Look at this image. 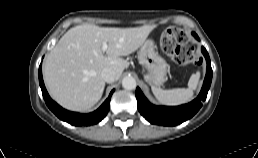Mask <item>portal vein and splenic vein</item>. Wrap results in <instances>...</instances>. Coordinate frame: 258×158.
Instances as JSON below:
<instances>
[{"instance_id":"1","label":"portal vein and splenic vein","mask_w":258,"mask_h":158,"mask_svg":"<svg viewBox=\"0 0 258 158\" xmlns=\"http://www.w3.org/2000/svg\"><path fill=\"white\" fill-rule=\"evenodd\" d=\"M107 47H108V46H107V44H106V43H104V44H103V46H102V50H103V52H105V51L107 50Z\"/></svg>"}]
</instances>
